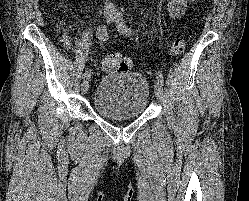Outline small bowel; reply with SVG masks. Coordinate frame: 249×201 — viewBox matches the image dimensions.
Masks as SVG:
<instances>
[{
    "mask_svg": "<svg viewBox=\"0 0 249 201\" xmlns=\"http://www.w3.org/2000/svg\"><path fill=\"white\" fill-rule=\"evenodd\" d=\"M194 1L196 0H168L167 10L171 17L180 18L185 14L188 5ZM61 42L67 49L71 48V38L68 33H63Z\"/></svg>",
    "mask_w": 249,
    "mask_h": 201,
    "instance_id": "obj_1",
    "label": "small bowel"
}]
</instances>
